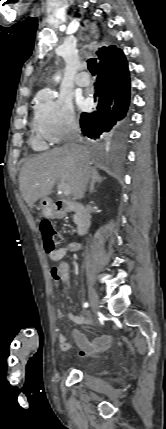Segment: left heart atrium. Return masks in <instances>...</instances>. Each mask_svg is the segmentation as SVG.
Instances as JSON below:
<instances>
[{
  "instance_id": "39dd6f15",
  "label": "left heart atrium",
  "mask_w": 166,
  "mask_h": 429,
  "mask_svg": "<svg viewBox=\"0 0 166 429\" xmlns=\"http://www.w3.org/2000/svg\"><path fill=\"white\" fill-rule=\"evenodd\" d=\"M80 105H82V101H80Z\"/></svg>"
}]
</instances>
